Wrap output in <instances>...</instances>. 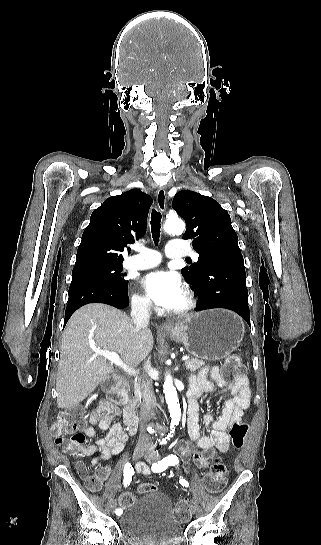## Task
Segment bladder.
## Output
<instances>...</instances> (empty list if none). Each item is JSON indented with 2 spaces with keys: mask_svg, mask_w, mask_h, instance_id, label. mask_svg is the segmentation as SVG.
Masks as SVG:
<instances>
[{
  "mask_svg": "<svg viewBox=\"0 0 321 545\" xmlns=\"http://www.w3.org/2000/svg\"><path fill=\"white\" fill-rule=\"evenodd\" d=\"M121 535L128 545H178L183 527L173 514L169 497L161 491L140 495L118 516Z\"/></svg>",
  "mask_w": 321,
  "mask_h": 545,
  "instance_id": "bladder-1",
  "label": "bladder"
}]
</instances>
